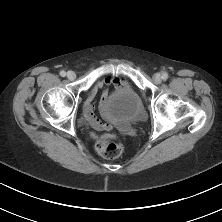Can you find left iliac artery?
Masks as SVG:
<instances>
[{
    "instance_id": "1",
    "label": "left iliac artery",
    "mask_w": 222,
    "mask_h": 222,
    "mask_svg": "<svg viewBox=\"0 0 222 222\" xmlns=\"http://www.w3.org/2000/svg\"><path fill=\"white\" fill-rule=\"evenodd\" d=\"M162 79H164V80L168 79V73L167 72H164L162 74Z\"/></svg>"
}]
</instances>
